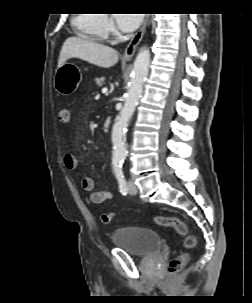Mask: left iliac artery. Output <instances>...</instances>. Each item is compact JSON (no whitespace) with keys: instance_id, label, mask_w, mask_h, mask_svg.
I'll return each instance as SVG.
<instances>
[{"instance_id":"obj_1","label":"left iliac artery","mask_w":252,"mask_h":303,"mask_svg":"<svg viewBox=\"0 0 252 303\" xmlns=\"http://www.w3.org/2000/svg\"><path fill=\"white\" fill-rule=\"evenodd\" d=\"M113 171H114L115 177L118 181L120 192L123 195H126L127 194V186H126V180H125V177H124V174H123V171H122V166H114Z\"/></svg>"}]
</instances>
